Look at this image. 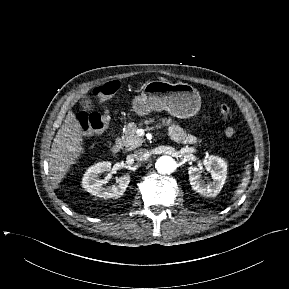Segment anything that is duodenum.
Wrapping results in <instances>:
<instances>
[{
  "label": "duodenum",
  "mask_w": 289,
  "mask_h": 289,
  "mask_svg": "<svg viewBox=\"0 0 289 289\" xmlns=\"http://www.w3.org/2000/svg\"><path fill=\"white\" fill-rule=\"evenodd\" d=\"M121 149H122V142L121 140L117 139L111 147V152L113 154H117L121 151Z\"/></svg>",
  "instance_id": "410a0bca"
}]
</instances>
